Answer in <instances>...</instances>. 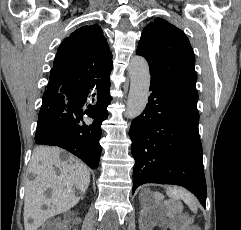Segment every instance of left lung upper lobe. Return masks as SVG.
Wrapping results in <instances>:
<instances>
[{"label": "left lung upper lobe", "mask_w": 241, "mask_h": 230, "mask_svg": "<svg viewBox=\"0 0 241 230\" xmlns=\"http://www.w3.org/2000/svg\"><path fill=\"white\" fill-rule=\"evenodd\" d=\"M136 53L147 60L151 77L197 91L193 49L185 33L171 23L161 18L149 23Z\"/></svg>", "instance_id": "1"}]
</instances>
